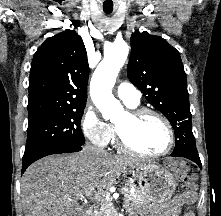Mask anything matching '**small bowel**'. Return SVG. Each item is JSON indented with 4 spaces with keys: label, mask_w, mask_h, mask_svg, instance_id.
Wrapping results in <instances>:
<instances>
[{
    "label": "small bowel",
    "mask_w": 221,
    "mask_h": 216,
    "mask_svg": "<svg viewBox=\"0 0 221 216\" xmlns=\"http://www.w3.org/2000/svg\"><path fill=\"white\" fill-rule=\"evenodd\" d=\"M195 203L193 194L187 192L176 195L171 202L166 204L162 211V216H179L180 209L183 206L190 207ZM182 216H194L191 209H187Z\"/></svg>",
    "instance_id": "obj_1"
}]
</instances>
